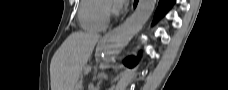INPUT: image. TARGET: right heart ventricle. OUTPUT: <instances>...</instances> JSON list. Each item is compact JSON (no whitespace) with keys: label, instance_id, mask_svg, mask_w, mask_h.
<instances>
[{"label":"right heart ventricle","instance_id":"e07e8e85","mask_svg":"<svg viewBox=\"0 0 228 90\" xmlns=\"http://www.w3.org/2000/svg\"><path fill=\"white\" fill-rule=\"evenodd\" d=\"M107 1L82 0L78 10L79 22L85 30L100 32L107 26L104 7Z\"/></svg>","mask_w":228,"mask_h":90}]
</instances>
